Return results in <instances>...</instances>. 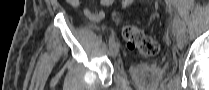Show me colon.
<instances>
[{"mask_svg": "<svg viewBox=\"0 0 209 90\" xmlns=\"http://www.w3.org/2000/svg\"><path fill=\"white\" fill-rule=\"evenodd\" d=\"M119 20V18H117ZM122 36L130 49L137 50L142 56H154L159 51L158 42L133 25H123Z\"/></svg>", "mask_w": 209, "mask_h": 90, "instance_id": "1", "label": "colon"}]
</instances>
